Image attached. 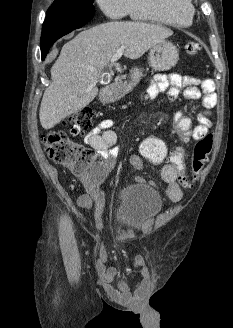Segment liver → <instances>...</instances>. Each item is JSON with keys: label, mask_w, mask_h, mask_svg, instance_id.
Instances as JSON below:
<instances>
[{"label": "liver", "mask_w": 233, "mask_h": 328, "mask_svg": "<svg viewBox=\"0 0 233 328\" xmlns=\"http://www.w3.org/2000/svg\"><path fill=\"white\" fill-rule=\"evenodd\" d=\"M172 34L161 25L130 21L107 22L80 32L62 47L51 68L52 82L39 112L42 127L51 129L89 105L98 94L102 70L121 46L125 57L138 59Z\"/></svg>", "instance_id": "liver-1"}]
</instances>
